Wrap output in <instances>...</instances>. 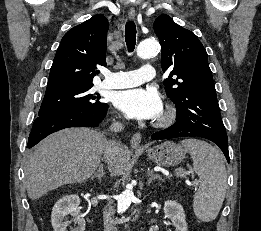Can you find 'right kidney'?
<instances>
[{
	"label": "right kidney",
	"mask_w": 261,
	"mask_h": 231,
	"mask_svg": "<svg viewBox=\"0 0 261 231\" xmlns=\"http://www.w3.org/2000/svg\"><path fill=\"white\" fill-rule=\"evenodd\" d=\"M80 198L76 194L67 195L57 201L51 213V224L54 231H67L66 227L69 222H63L67 215H72L75 218L77 227L71 231H85V220L80 213Z\"/></svg>",
	"instance_id": "ca27d5eb"
}]
</instances>
